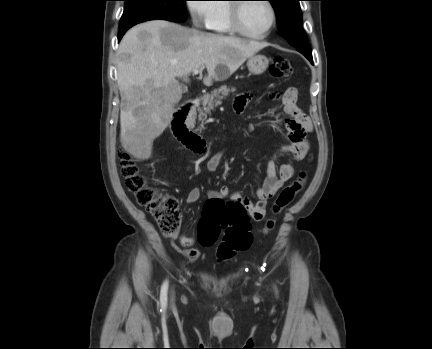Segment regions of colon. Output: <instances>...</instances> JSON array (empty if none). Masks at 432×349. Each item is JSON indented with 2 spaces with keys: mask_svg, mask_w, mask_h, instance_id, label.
<instances>
[{
  "mask_svg": "<svg viewBox=\"0 0 432 349\" xmlns=\"http://www.w3.org/2000/svg\"><path fill=\"white\" fill-rule=\"evenodd\" d=\"M276 78H287L292 74L290 62L277 56L269 67ZM121 173L129 191L135 194L139 205L145 207L156 219L163 234L175 235L180 228L181 211L179 201L171 195H164L151 187L146 175L133 157L124 149L119 151ZM306 174L301 172L298 179L285 187L275 201L273 210L278 213L302 190ZM251 217L243 203L238 201L209 200L203 210L198 225V240L202 246H211L222 233L217 256L220 260L232 258L237 252L248 249L252 243ZM274 222L268 221L266 230L272 229Z\"/></svg>",
  "mask_w": 432,
  "mask_h": 349,
  "instance_id": "obj_1",
  "label": "colon"
}]
</instances>
